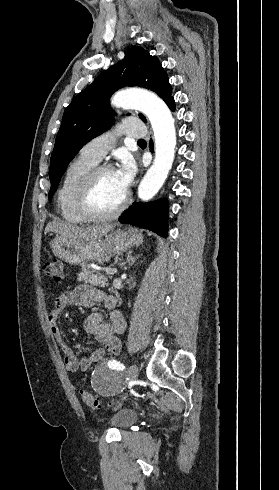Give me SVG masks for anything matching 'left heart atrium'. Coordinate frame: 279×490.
I'll use <instances>...</instances> for the list:
<instances>
[{
	"label": "left heart atrium",
	"instance_id": "39dd6f15",
	"mask_svg": "<svg viewBox=\"0 0 279 490\" xmlns=\"http://www.w3.org/2000/svg\"><path fill=\"white\" fill-rule=\"evenodd\" d=\"M114 174L120 192L126 196L136 174L134 162L129 158L123 159L122 164L114 170Z\"/></svg>",
	"mask_w": 279,
	"mask_h": 490
}]
</instances>
